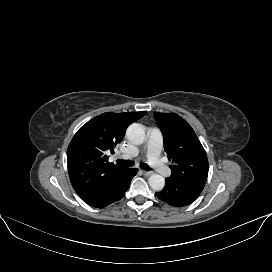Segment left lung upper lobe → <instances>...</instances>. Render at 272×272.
<instances>
[{"mask_svg": "<svg viewBox=\"0 0 272 272\" xmlns=\"http://www.w3.org/2000/svg\"><path fill=\"white\" fill-rule=\"evenodd\" d=\"M164 137V149L175 163L169 182H206L208 159L206 152L190 125L174 113L154 112Z\"/></svg>", "mask_w": 272, "mask_h": 272, "instance_id": "left-lung-upper-lobe-1", "label": "left lung upper lobe"}]
</instances>
